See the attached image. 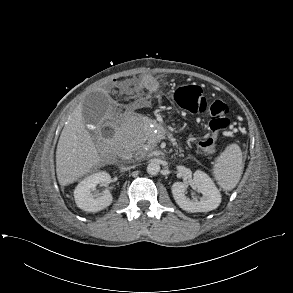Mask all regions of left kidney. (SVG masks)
I'll return each mask as SVG.
<instances>
[{
    "instance_id": "5707ae66",
    "label": "left kidney",
    "mask_w": 293,
    "mask_h": 293,
    "mask_svg": "<svg viewBox=\"0 0 293 293\" xmlns=\"http://www.w3.org/2000/svg\"><path fill=\"white\" fill-rule=\"evenodd\" d=\"M193 182L203 194L201 201H192L185 195L187 185L175 182L172 185V194L180 208L187 212H208L216 209L221 203V193L213 180L203 171L197 170L193 175Z\"/></svg>"
}]
</instances>
